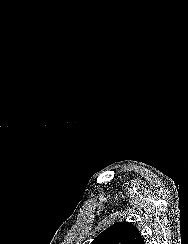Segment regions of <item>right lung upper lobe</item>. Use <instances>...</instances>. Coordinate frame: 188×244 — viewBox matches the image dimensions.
I'll return each instance as SVG.
<instances>
[{
  "label": "right lung upper lobe",
  "instance_id": "obj_1",
  "mask_svg": "<svg viewBox=\"0 0 188 244\" xmlns=\"http://www.w3.org/2000/svg\"><path fill=\"white\" fill-rule=\"evenodd\" d=\"M91 244H145L138 229L129 222H118L99 234Z\"/></svg>",
  "mask_w": 188,
  "mask_h": 244
}]
</instances>
